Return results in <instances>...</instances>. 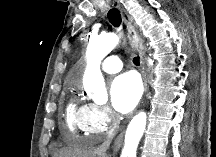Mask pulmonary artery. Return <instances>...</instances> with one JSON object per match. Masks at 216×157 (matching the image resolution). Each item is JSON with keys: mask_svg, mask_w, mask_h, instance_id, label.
<instances>
[{"mask_svg": "<svg viewBox=\"0 0 216 157\" xmlns=\"http://www.w3.org/2000/svg\"><path fill=\"white\" fill-rule=\"evenodd\" d=\"M122 68L120 56H108L101 64V69L106 73H116Z\"/></svg>", "mask_w": 216, "mask_h": 157, "instance_id": "1", "label": "pulmonary artery"}]
</instances>
